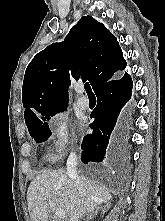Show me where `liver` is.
Returning <instances> with one entry per match:
<instances>
[{
  "mask_svg": "<svg viewBox=\"0 0 165 221\" xmlns=\"http://www.w3.org/2000/svg\"><path fill=\"white\" fill-rule=\"evenodd\" d=\"M86 194L78 192L74 180L63 169L37 175L27 190V205L31 221H48L49 202L66 213L65 221H79L98 205L112 199L110 191L95 181L80 177Z\"/></svg>",
  "mask_w": 165,
  "mask_h": 221,
  "instance_id": "1",
  "label": "liver"
}]
</instances>
